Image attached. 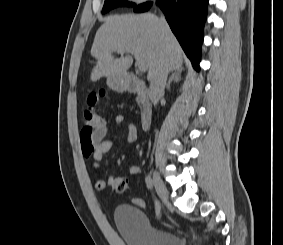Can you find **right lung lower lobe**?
Wrapping results in <instances>:
<instances>
[{"mask_svg":"<svg viewBox=\"0 0 283 245\" xmlns=\"http://www.w3.org/2000/svg\"><path fill=\"white\" fill-rule=\"evenodd\" d=\"M209 0H157L164 12L172 32L177 37L184 52L199 71L203 27L207 17ZM151 2L138 5L134 11L144 12Z\"/></svg>","mask_w":283,"mask_h":245,"instance_id":"right-lung-lower-lobe-1","label":"right lung lower lobe"}]
</instances>
